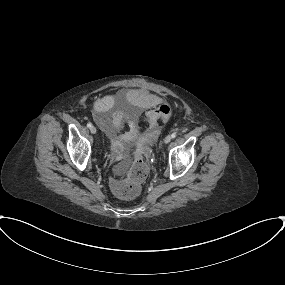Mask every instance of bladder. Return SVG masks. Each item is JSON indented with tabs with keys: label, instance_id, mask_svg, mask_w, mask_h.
I'll list each match as a JSON object with an SVG mask.
<instances>
[{
	"label": "bladder",
	"instance_id": "bladder-1",
	"mask_svg": "<svg viewBox=\"0 0 285 285\" xmlns=\"http://www.w3.org/2000/svg\"><path fill=\"white\" fill-rule=\"evenodd\" d=\"M134 97V93L130 90H125L123 92H121L118 95V99L117 100H122V101H129L131 98ZM153 137L152 133H148L147 135H145L144 137H142L144 139L145 142H149Z\"/></svg>",
	"mask_w": 285,
	"mask_h": 285
}]
</instances>
